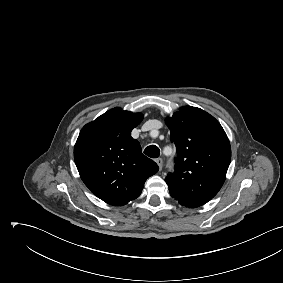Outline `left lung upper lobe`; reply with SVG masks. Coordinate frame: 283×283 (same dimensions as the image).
I'll use <instances>...</instances> for the list:
<instances>
[{
  "mask_svg": "<svg viewBox=\"0 0 283 283\" xmlns=\"http://www.w3.org/2000/svg\"><path fill=\"white\" fill-rule=\"evenodd\" d=\"M176 146L175 172L165 181L171 197L197 208L221 189L231 160V147L220 123L202 109L185 106L166 118Z\"/></svg>",
  "mask_w": 283,
  "mask_h": 283,
  "instance_id": "left-lung-upper-lobe-1",
  "label": "left lung upper lobe"
}]
</instances>
